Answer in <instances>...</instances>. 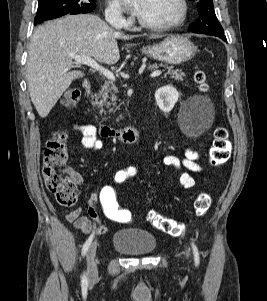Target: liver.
Here are the masks:
<instances>
[{"instance_id": "1", "label": "liver", "mask_w": 267, "mask_h": 301, "mask_svg": "<svg viewBox=\"0 0 267 301\" xmlns=\"http://www.w3.org/2000/svg\"><path fill=\"white\" fill-rule=\"evenodd\" d=\"M131 38L134 36L114 31L92 14L68 15L39 26L31 38L26 63L28 91L39 116L45 118L70 84L84 76L71 70L70 53L112 65L120 58L116 39Z\"/></svg>"}]
</instances>
